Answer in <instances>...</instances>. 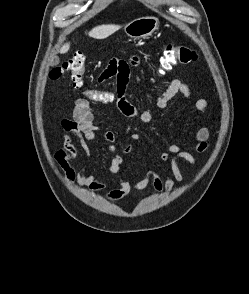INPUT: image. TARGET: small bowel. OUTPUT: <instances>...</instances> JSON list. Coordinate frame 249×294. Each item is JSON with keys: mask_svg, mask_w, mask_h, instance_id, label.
I'll return each mask as SVG.
<instances>
[{"mask_svg": "<svg viewBox=\"0 0 249 294\" xmlns=\"http://www.w3.org/2000/svg\"><path fill=\"white\" fill-rule=\"evenodd\" d=\"M127 71L119 76H116V99L115 105L120 113L127 118H138L140 121L147 123L153 119L154 110L152 108H145L138 110L127 98L126 88L130 77V63H127ZM113 76H107L104 72L98 78L99 83H103ZM182 95L187 103L193 101V96L189 87L178 78L171 80L170 84L164 93L157 98L155 102V109L163 110L168 107V103L177 95ZM76 109L74 118L65 120L63 127L65 134L62 139V146L55 152V159L66 173L68 182H75L82 189L91 193H97L103 190L108 180L89 173L84 167L77 171L72 165L71 161L78 156V148L73 142L70 134H76L80 139V146L85 152L86 156H90L89 143L96 137L97 127L94 123V113L88 99L79 97L76 99ZM195 109L202 113L208 107V102L204 99H198L194 102ZM210 130L208 128H199L194 134L193 150L200 154H205L208 150V140L210 139ZM132 139L140 138L138 134H132ZM105 139L109 143L110 163L108 172L111 176L118 179L120 187L114 189L107 194V199L115 201L128 193L130 190L141 191L148 186H152L157 193L171 192L176 183L184 182L185 177L179 167V161H184L187 164L194 166L196 164L195 156L181 149L176 143L169 144L164 151L159 154V161L166 165L165 175L162 176L158 172L149 170L143 175H138L130 172H122V164L124 162L123 156L119 152V148L115 145L116 134L113 131H106ZM124 153L132 151V146L126 145L121 148Z\"/></svg>", "mask_w": 249, "mask_h": 294, "instance_id": "c3829d8e", "label": "small bowel"}]
</instances>
